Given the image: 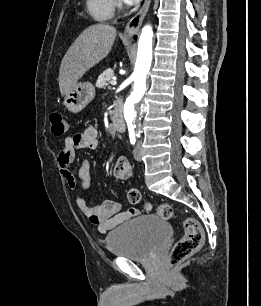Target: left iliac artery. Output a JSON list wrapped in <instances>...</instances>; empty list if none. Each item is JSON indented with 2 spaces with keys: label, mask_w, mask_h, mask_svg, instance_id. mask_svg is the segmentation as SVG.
Segmentation results:
<instances>
[{
  "label": "left iliac artery",
  "mask_w": 261,
  "mask_h": 306,
  "mask_svg": "<svg viewBox=\"0 0 261 306\" xmlns=\"http://www.w3.org/2000/svg\"><path fill=\"white\" fill-rule=\"evenodd\" d=\"M135 135L134 134H130V142H131V144L132 145H134L135 144Z\"/></svg>",
  "instance_id": "44dca946"
}]
</instances>
